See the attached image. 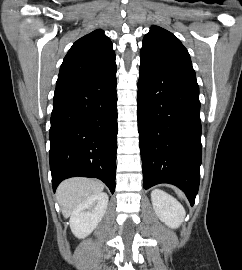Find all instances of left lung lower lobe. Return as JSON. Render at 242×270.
Wrapping results in <instances>:
<instances>
[{
  "label": "left lung lower lobe",
  "mask_w": 242,
  "mask_h": 270,
  "mask_svg": "<svg viewBox=\"0 0 242 270\" xmlns=\"http://www.w3.org/2000/svg\"><path fill=\"white\" fill-rule=\"evenodd\" d=\"M137 102L143 187L174 184L193 205L202 157L196 78L141 62Z\"/></svg>",
  "instance_id": "1"
}]
</instances>
